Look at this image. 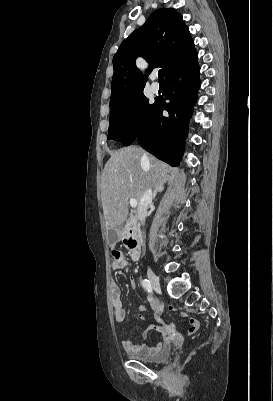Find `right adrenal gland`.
<instances>
[{
    "instance_id": "right-adrenal-gland-1",
    "label": "right adrenal gland",
    "mask_w": 273,
    "mask_h": 401,
    "mask_svg": "<svg viewBox=\"0 0 273 401\" xmlns=\"http://www.w3.org/2000/svg\"><path fill=\"white\" fill-rule=\"evenodd\" d=\"M167 180H170V178H165V176H164L162 182H167ZM162 188H163V184H158V186H156V188L153 192V198H155L157 192H161Z\"/></svg>"
}]
</instances>
